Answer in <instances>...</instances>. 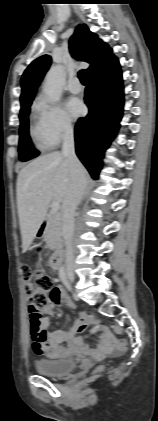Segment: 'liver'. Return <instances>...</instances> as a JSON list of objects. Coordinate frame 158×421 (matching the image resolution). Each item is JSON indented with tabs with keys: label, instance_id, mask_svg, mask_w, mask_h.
Returning a JSON list of instances; mask_svg holds the SVG:
<instances>
[{
	"label": "liver",
	"instance_id": "1",
	"mask_svg": "<svg viewBox=\"0 0 158 421\" xmlns=\"http://www.w3.org/2000/svg\"><path fill=\"white\" fill-rule=\"evenodd\" d=\"M70 182L68 159L60 152L40 156L21 169L16 191L23 251L35 238L51 200L63 202Z\"/></svg>",
	"mask_w": 158,
	"mask_h": 421
}]
</instances>
